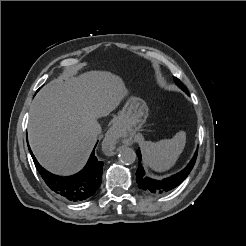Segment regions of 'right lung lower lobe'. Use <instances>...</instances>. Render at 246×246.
<instances>
[{
	"instance_id": "right-lung-lower-lobe-1",
	"label": "right lung lower lobe",
	"mask_w": 246,
	"mask_h": 246,
	"mask_svg": "<svg viewBox=\"0 0 246 246\" xmlns=\"http://www.w3.org/2000/svg\"><path fill=\"white\" fill-rule=\"evenodd\" d=\"M29 151L37 170L47 186L65 200L70 202L86 200L96 192L101 184L103 162L97 160L94 155L95 149L83 170L69 177L57 176L46 171L38 163L30 147Z\"/></svg>"
}]
</instances>
